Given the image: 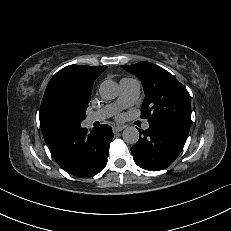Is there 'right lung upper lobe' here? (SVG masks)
<instances>
[{
	"instance_id": "obj_1",
	"label": "right lung upper lobe",
	"mask_w": 231,
	"mask_h": 231,
	"mask_svg": "<svg viewBox=\"0 0 231 231\" xmlns=\"http://www.w3.org/2000/svg\"><path fill=\"white\" fill-rule=\"evenodd\" d=\"M106 66L69 65L58 71L50 80L40 107V125L48 145L59 140L64 132L76 124L61 117L56 107L66 102L86 109L90 101L93 82Z\"/></svg>"
}]
</instances>
